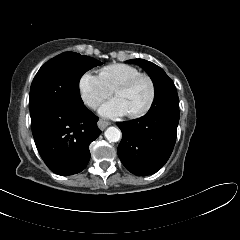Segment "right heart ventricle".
Returning <instances> with one entry per match:
<instances>
[{
	"label": "right heart ventricle",
	"mask_w": 240,
	"mask_h": 240,
	"mask_svg": "<svg viewBox=\"0 0 240 240\" xmlns=\"http://www.w3.org/2000/svg\"><path fill=\"white\" fill-rule=\"evenodd\" d=\"M140 74L141 71L132 65L117 63L102 68L99 76L112 90H115L119 84Z\"/></svg>",
	"instance_id": "e07e8e85"
}]
</instances>
